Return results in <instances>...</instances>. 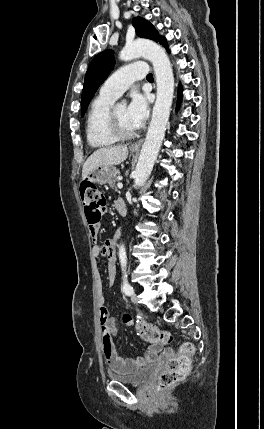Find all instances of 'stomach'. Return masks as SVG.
Here are the masks:
<instances>
[{
	"mask_svg": "<svg viewBox=\"0 0 264 429\" xmlns=\"http://www.w3.org/2000/svg\"><path fill=\"white\" fill-rule=\"evenodd\" d=\"M134 152V151H133ZM116 168L113 165L99 166L94 169L88 176V180L97 184H105L115 175Z\"/></svg>",
	"mask_w": 264,
	"mask_h": 429,
	"instance_id": "1",
	"label": "stomach"
}]
</instances>
